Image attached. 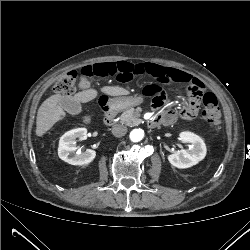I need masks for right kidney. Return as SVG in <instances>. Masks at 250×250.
Listing matches in <instances>:
<instances>
[{"mask_svg": "<svg viewBox=\"0 0 250 250\" xmlns=\"http://www.w3.org/2000/svg\"><path fill=\"white\" fill-rule=\"evenodd\" d=\"M86 138V128H77L66 132L59 141V158L71 165H86L92 162L96 156L94 150L87 149L85 152H76L77 139L85 140Z\"/></svg>", "mask_w": 250, "mask_h": 250, "instance_id": "ca27d5eb", "label": "right kidney"}]
</instances>
